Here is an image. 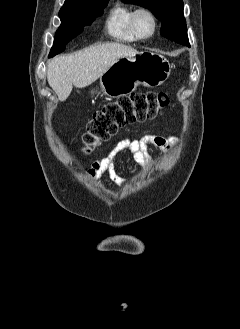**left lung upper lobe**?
<instances>
[{"mask_svg": "<svg viewBox=\"0 0 240 329\" xmlns=\"http://www.w3.org/2000/svg\"><path fill=\"white\" fill-rule=\"evenodd\" d=\"M152 10L162 21L161 35L177 43L189 46L182 0H125Z\"/></svg>", "mask_w": 240, "mask_h": 329, "instance_id": "left-lung-upper-lobe-1", "label": "left lung upper lobe"}]
</instances>
